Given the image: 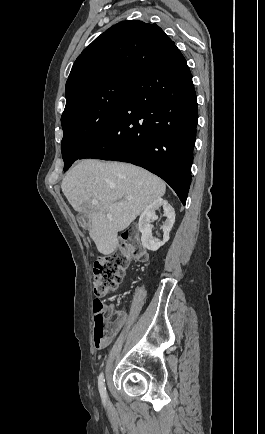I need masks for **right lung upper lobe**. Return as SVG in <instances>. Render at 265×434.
Returning a JSON list of instances; mask_svg holds the SVG:
<instances>
[{
	"instance_id": "right-lung-upper-lobe-1",
	"label": "right lung upper lobe",
	"mask_w": 265,
	"mask_h": 434,
	"mask_svg": "<svg viewBox=\"0 0 265 434\" xmlns=\"http://www.w3.org/2000/svg\"><path fill=\"white\" fill-rule=\"evenodd\" d=\"M173 46L174 42L156 24L139 20L120 22L78 56L66 82V91L107 76H137Z\"/></svg>"
}]
</instances>
